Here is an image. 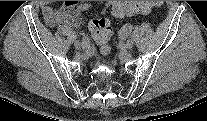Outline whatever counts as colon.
Listing matches in <instances>:
<instances>
[{
  "mask_svg": "<svg viewBox=\"0 0 207 121\" xmlns=\"http://www.w3.org/2000/svg\"><path fill=\"white\" fill-rule=\"evenodd\" d=\"M160 5L158 1H117L112 7V14L116 17H125L135 14H146ZM90 31L93 39L99 45L103 54L110 52L112 28L106 18H94L90 22Z\"/></svg>",
  "mask_w": 207,
  "mask_h": 121,
  "instance_id": "colon-1",
  "label": "colon"
}]
</instances>
